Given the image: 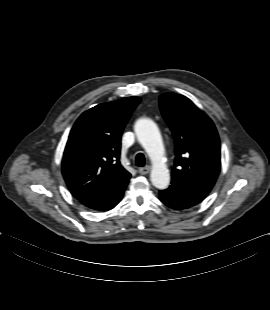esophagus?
I'll return each instance as SVG.
<instances>
[{"label":"esophagus","instance_id":"obj_1","mask_svg":"<svg viewBox=\"0 0 270 310\" xmlns=\"http://www.w3.org/2000/svg\"><path fill=\"white\" fill-rule=\"evenodd\" d=\"M138 171L141 175H146L151 171V168H150V166H145V167L139 168Z\"/></svg>","mask_w":270,"mask_h":310}]
</instances>
